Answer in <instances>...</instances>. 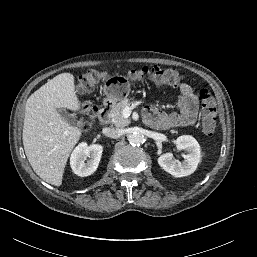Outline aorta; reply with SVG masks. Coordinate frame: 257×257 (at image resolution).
<instances>
[{
    "label": "aorta",
    "instance_id": "obj_1",
    "mask_svg": "<svg viewBox=\"0 0 257 257\" xmlns=\"http://www.w3.org/2000/svg\"><path fill=\"white\" fill-rule=\"evenodd\" d=\"M129 143L132 145V146H140L143 141H144V138L141 134L139 133H134L132 135L129 136Z\"/></svg>",
    "mask_w": 257,
    "mask_h": 257
}]
</instances>
